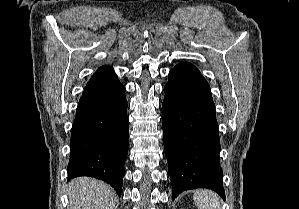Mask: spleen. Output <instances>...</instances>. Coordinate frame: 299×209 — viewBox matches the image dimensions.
<instances>
[{
	"instance_id": "spleen-1",
	"label": "spleen",
	"mask_w": 299,
	"mask_h": 209,
	"mask_svg": "<svg viewBox=\"0 0 299 209\" xmlns=\"http://www.w3.org/2000/svg\"><path fill=\"white\" fill-rule=\"evenodd\" d=\"M193 198L198 209H220L219 196L211 190H197Z\"/></svg>"
}]
</instances>
